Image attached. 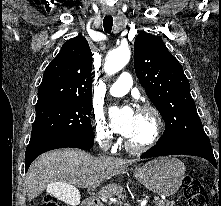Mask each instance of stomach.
<instances>
[{"label":"stomach","instance_id":"stomach-1","mask_svg":"<svg viewBox=\"0 0 221 206\" xmlns=\"http://www.w3.org/2000/svg\"><path fill=\"white\" fill-rule=\"evenodd\" d=\"M185 175L184 164L172 157H160L138 168L135 177L149 190L171 195L181 186Z\"/></svg>","mask_w":221,"mask_h":206}]
</instances>
